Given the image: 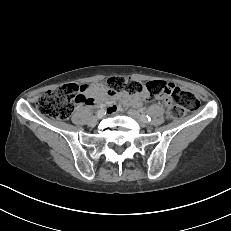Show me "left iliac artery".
I'll return each mask as SVG.
<instances>
[{"label":"left iliac artery","mask_w":231,"mask_h":231,"mask_svg":"<svg viewBox=\"0 0 231 231\" xmlns=\"http://www.w3.org/2000/svg\"><path fill=\"white\" fill-rule=\"evenodd\" d=\"M143 118H144L147 122L151 121V117H150L149 115H143Z\"/></svg>","instance_id":"left-iliac-artery-1"}]
</instances>
